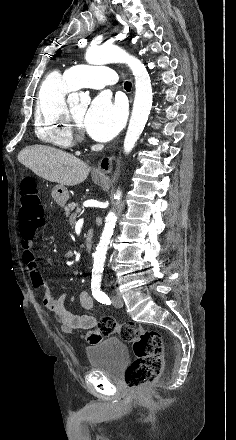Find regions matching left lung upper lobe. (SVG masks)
<instances>
[{
  "label": "left lung upper lobe",
  "instance_id": "left-lung-upper-lobe-1",
  "mask_svg": "<svg viewBox=\"0 0 236 440\" xmlns=\"http://www.w3.org/2000/svg\"><path fill=\"white\" fill-rule=\"evenodd\" d=\"M60 53H61V51L59 50L58 53H57L56 55H54L53 57H57V56H59Z\"/></svg>",
  "mask_w": 236,
  "mask_h": 440
}]
</instances>
